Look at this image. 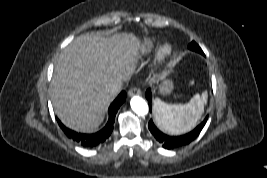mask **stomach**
<instances>
[{"label": "stomach", "mask_w": 267, "mask_h": 178, "mask_svg": "<svg viewBox=\"0 0 267 178\" xmlns=\"http://www.w3.org/2000/svg\"><path fill=\"white\" fill-rule=\"evenodd\" d=\"M173 81L170 79H162L158 86V91L161 95H169L173 91Z\"/></svg>", "instance_id": "stomach-1"}]
</instances>
